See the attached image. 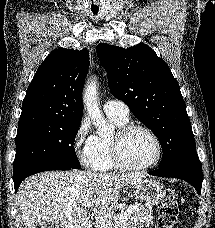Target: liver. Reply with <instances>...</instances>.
<instances>
[{
    "instance_id": "liver-1",
    "label": "liver",
    "mask_w": 215,
    "mask_h": 228,
    "mask_svg": "<svg viewBox=\"0 0 215 228\" xmlns=\"http://www.w3.org/2000/svg\"><path fill=\"white\" fill-rule=\"evenodd\" d=\"M146 178L133 174L43 172L19 186L17 200L25 228H93L83 204L94 200V228H110L119 188Z\"/></svg>"
}]
</instances>
